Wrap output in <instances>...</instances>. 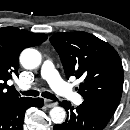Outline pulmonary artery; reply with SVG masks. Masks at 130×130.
Instances as JSON below:
<instances>
[{
	"label": "pulmonary artery",
	"mask_w": 130,
	"mask_h": 130,
	"mask_svg": "<svg viewBox=\"0 0 130 130\" xmlns=\"http://www.w3.org/2000/svg\"><path fill=\"white\" fill-rule=\"evenodd\" d=\"M41 75L58 95L69 99L75 104L81 103L82 97L78 93L73 91L71 87L61 79L50 59H46L44 61L41 68ZM20 87L21 89L29 88V86L25 84H22Z\"/></svg>",
	"instance_id": "1"
}]
</instances>
